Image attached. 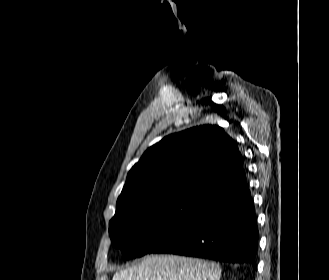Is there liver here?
<instances>
[{
    "mask_svg": "<svg viewBox=\"0 0 329 280\" xmlns=\"http://www.w3.org/2000/svg\"><path fill=\"white\" fill-rule=\"evenodd\" d=\"M214 262L177 255H149L113 275L112 280H220Z\"/></svg>",
    "mask_w": 329,
    "mask_h": 280,
    "instance_id": "6515ba94",
    "label": "liver"
}]
</instances>
